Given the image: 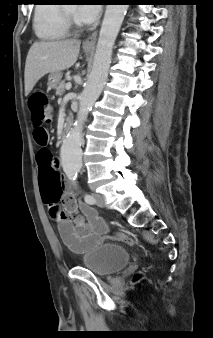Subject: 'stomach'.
<instances>
[{
	"label": "stomach",
	"mask_w": 213,
	"mask_h": 338,
	"mask_svg": "<svg viewBox=\"0 0 213 338\" xmlns=\"http://www.w3.org/2000/svg\"><path fill=\"white\" fill-rule=\"evenodd\" d=\"M84 51L88 53L90 52V49L84 48ZM61 78H62V73L60 71L50 73L48 76V83H47L48 88L55 89L58 86Z\"/></svg>",
	"instance_id": "0dacf381"
}]
</instances>
